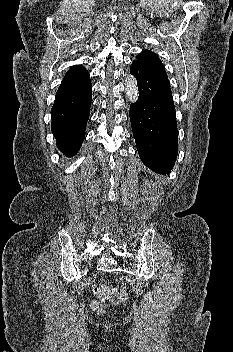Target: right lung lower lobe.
I'll list each match as a JSON object with an SVG mask.
<instances>
[{"instance_id":"98d812e1","label":"right lung lower lobe","mask_w":233,"mask_h":352,"mask_svg":"<svg viewBox=\"0 0 233 352\" xmlns=\"http://www.w3.org/2000/svg\"><path fill=\"white\" fill-rule=\"evenodd\" d=\"M91 106V82L85 70L64 78L51 109V130L57 147L68 157L76 154L85 137Z\"/></svg>"}]
</instances>
